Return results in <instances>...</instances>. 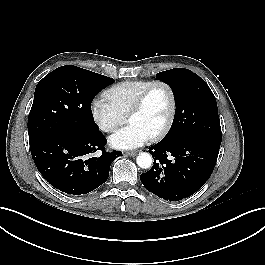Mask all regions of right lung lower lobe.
<instances>
[{"instance_id":"1","label":"right lung lower lobe","mask_w":265,"mask_h":265,"mask_svg":"<svg viewBox=\"0 0 265 265\" xmlns=\"http://www.w3.org/2000/svg\"><path fill=\"white\" fill-rule=\"evenodd\" d=\"M32 158L42 176L60 191L81 195L103 183L109 176L111 162L120 151H104L106 139L95 133H65L29 141ZM102 150L100 157H92Z\"/></svg>"}]
</instances>
